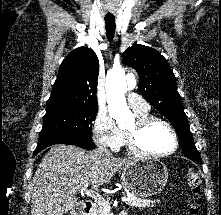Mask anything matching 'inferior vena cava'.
I'll return each instance as SVG.
<instances>
[{
  "mask_svg": "<svg viewBox=\"0 0 221 215\" xmlns=\"http://www.w3.org/2000/svg\"><path fill=\"white\" fill-rule=\"evenodd\" d=\"M98 152L104 155H111L109 149L105 144H100L98 148Z\"/></svg>",
  "mask_w": 221,
  "mask_h": 215,
  "instance_id": "602c4592",
  "label": "inferior vena cava"
}]
</instances>
